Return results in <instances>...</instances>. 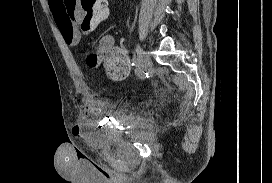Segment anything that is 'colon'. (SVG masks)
Segmentation results:
<instances>
[{
	"label": "colon",
	"mask_w": 272,
	"mask_h": 183,
	"mask_svg": "<svg viewBox=\"0 0 272 183\" xmlns=\"http://www.w3.org/2000/svg\"><path fill=\"white\" fill-rule=\"evenodd\" d=\"M67 21L75 22L78 13L77 25L85 33L93 31L108 17L107 0H67ZM99 63V55L91 53L87 57V64L95 67Z\"/></svg>",
	"instance_id": "1"
}]
</instances>
